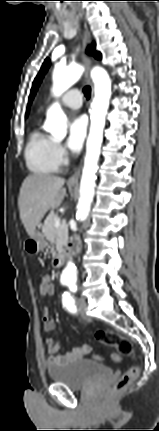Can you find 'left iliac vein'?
I'll return each mask as SVG.
<instances>
[{"label":"left iliac vein","instance_id":"1","mask_svg":"<svg viewBox=\"0 0 159 431\" xmlns=\"http://www.w3.org/2000/svg\"><path fill=\"white\" fill-rule=\"evenodd\" d=\"M77 307L79 309V314L82 317H86V301L83 298L78 299Z\"/></svg>","mask_w":159,"mask_h":431}]
</instances>
